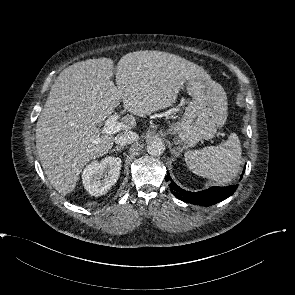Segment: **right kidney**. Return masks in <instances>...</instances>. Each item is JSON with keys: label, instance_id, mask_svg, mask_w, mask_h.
<instances>
[{"label": "right kidney", "instance_id": "obj_1", "mask_svg": "<svg viewBox=\"0 0 295 295\" xmlns=\"http://www.w3.org/2000/svg\"><path fill=\"white\" fill-rule=\"evenodd\" d=\"M121 169V159L105 157L100 162L93 161L83 170L82 182L84 188L92 196H101L115 185Z\"/></svg>", "mask_w": 295, "mask_h": 295}]
</instances>
